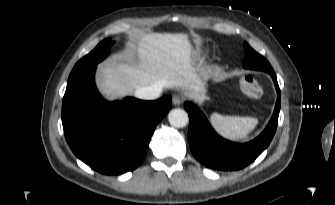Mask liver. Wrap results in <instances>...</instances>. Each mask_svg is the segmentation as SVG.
Wrapping results in <instances>:
<instances>
[{
    "mask_svg": "<svg viewBox=\"0 0 335 205\" xmlns=\"http://www.w3.org/2000/svg\"><path fill=\"white\" fill-rule=\"evenodd\" d=\"M189 38L183 33H148L131 44L126 58L100 66L98 87L109 100L157 84L181 89L190 98L201 100L206 82L192 57Z\"/></svg>",
    "mask_w": 335,
    "mask_h": 205,
    "instance_id": "1",
    "label": "liver"
}]
</instances>
